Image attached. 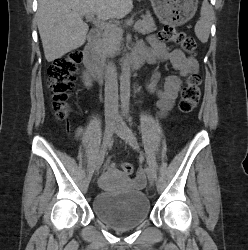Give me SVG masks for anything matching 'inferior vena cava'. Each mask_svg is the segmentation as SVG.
Listing matches in <instances>:
<instances>
[{"mask_svg":"<svg viewBox=\"0 0 248 250\" xmlns=\"http://www.w3.org/2000/svg\"><path fill=\"white\" fill-rule=\"evenodd\" d=\"M118 115V82L114 63L108 62L105 69V119L115 120Z\"/></svg>","mask_w":248,"mask_h":250,"instance_id":"602c4592","label":"inferior vena cava"}]
</instances>
